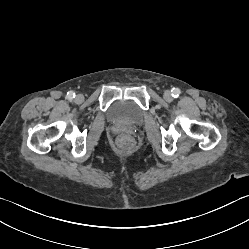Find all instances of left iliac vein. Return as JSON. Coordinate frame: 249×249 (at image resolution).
Segmentation results:
<instances>
[{"instance_id": "obj_1", "label": "left iliac vein", "mask_w": 249, "mask_h": 249, "mask_svg": "<svg viewBox=\"0 0 249 249\" xmlns=\"http://www.w3.org/2000/svg\"><path fill=\"white\" fill-rule=\"evenodd\" d=\"M163 97L168 102H171L173 100V97L170 91H165Z\"/></svg>"}]
</instances>
